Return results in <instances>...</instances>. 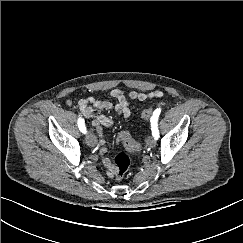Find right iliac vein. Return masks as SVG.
<instances>
[{"label": "right iliac vein", "mask_w": 243, "mask_h": 243, "mask_svg": "<svg viewBox=\"0 0 243 243\" xmlns=\"http://www.w3.org/2000/svg\"><path fill=\"white\" fill-rule=\"evenodd\" d=\"M86 143L90 147H94L96 145V139L91 132H88L86 135Z\"/></svg>", "instance_id": "right-iliac-vein-1"}]
</instances>
